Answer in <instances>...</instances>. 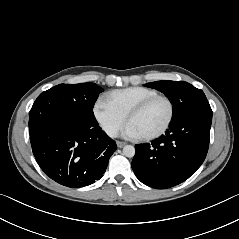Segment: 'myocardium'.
<instances>
[{
  "label": "myocardium",
  "instance_id": "1",
  "mask_svg": "<svg viewBox=\"0 0 239 239\" xmlns=\"http://www.w3.org/2000/svg\"><path fill=\"white\" fill-rule=\"evenodd\" d=\"M159 99H163L168 103V105H169V117H168L166 123L163 125V127L160 128L157 132H155L153 134H150V135L141 136L140 138L144 141H151V140L157 139V138L161 137L162 135H164L167 132V130L170 128V126H171V124L174 120V116H175L174 102L172 101V99L170 97H168L166 95L157 94V95L151 96V97L143 100L142 102L137 104L135 107H133L129 111V113L127 114V121L129 122L132 117L140 114L147 107H149L153 102H155Z\"/></svg>",
  "mask_w": 239,
  "mask_h": 239
}]
</instances>
